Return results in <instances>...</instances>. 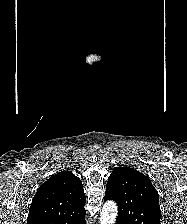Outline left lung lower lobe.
Wrapping results in <instances>:
<instances>
[{"mask_svg": "<svg viewBox=\"0 0 187 224\" xmlns=\"http://www.w3.org/2000/svg\"><path fill=\"white\" fill-rule=\"evenodd\" d=\"M116 224H121L119 221H116Z\"/></svg>", "mask_w": 187, "mask_h": 224, "instance_id": "0a47b994", "label": "left lung lower lobe"}]
</instances>
